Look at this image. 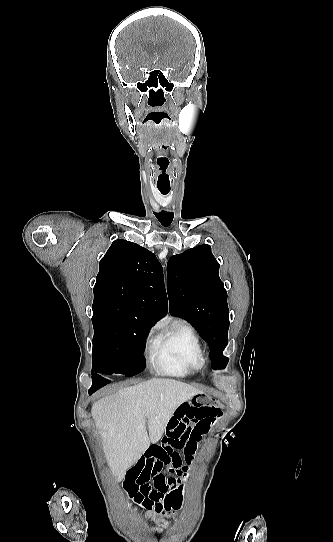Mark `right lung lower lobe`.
Instances as JSON below:
<instances>
[{
	"label": "right lung lower lobe",
	"instance_id": "right-lung-lower-lobe-1",
	"mask_svg": "<svg viewBox=\"0 0 333 542\" xmlns=\"http://www.w3.org/2000/svg\"><path fill=\"white\" fill-rule=\"evenodd\" d=\"M92 381H93V384L91 388L89 389V394H92L94 391H96L97 389L103 387L104 385L110 382L109 380L104 379L101 376V373H95L93 371H92Z\"/></svg>",
	"mask_w": 333,
	"mask_h": 542
}]
</instances>
